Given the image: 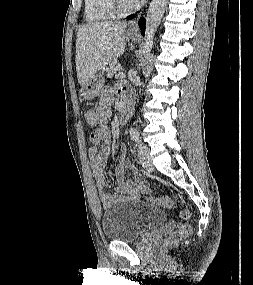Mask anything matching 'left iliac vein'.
<instances>
[{
    "instance_id": "obj_1",
    "label": "left iliac vein",
    "mask_w": 253,
    "mask_h": 285,
    "mask_svg": "<svg viewBox=\"0 0 253 285\" xmlns=\"http://www.w3.org/2000/svg\"><path fill=\"white\" fill-rule=\"evenodd\" d=\"M138 157L141 165L146 171H152L154 169L152 159L149 154V148L147 146L142 145L138 148Z\"/></svg>"
}]
</instances>
